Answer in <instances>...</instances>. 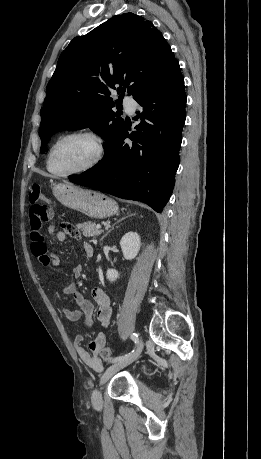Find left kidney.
Wrapping results in <instances>:
<instances>
[{
    "label": "left kidney",
    "instance_id": "5707ae66",
    "mask_svg": "<svg viewBox=\"0 0 261 459\" xmlns=\"http://www.w3.org/2000/svg\"><path fill=\"white\" fill-rule=\"evenodd\" d=\"M141 240L140 236L136 232L126 233L120 240V246L124 255V258L127 260H132L135 258L140 250ZM107 279L110 282L115 281L119 278L118 271L114 269L107 270Z\"/></svg>",
    "mask_w": 261,
    "mask_h": 459
}]
</instances>
